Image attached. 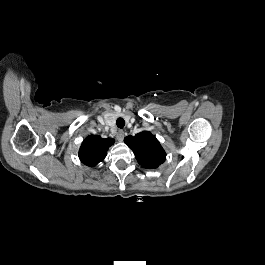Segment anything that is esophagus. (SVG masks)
I'll return each instance as SVG.
<instances>
[{"label": "esophagus", "mask_w": 265, "mask_h": 265, "mask_svg": "<svg viewBox=\"0 0 265 265\" xmlns=\"http://www.w3.org/2000/svg\"><path fill=\"white\" fill-rule=\"evenodd\" d=\"M116 138H117V140H118L119 142L123 141V139H124V131H123V130H119V131L117 132Z\"/></svg>", "instance_id": "34e87169"}]
</instances>
